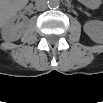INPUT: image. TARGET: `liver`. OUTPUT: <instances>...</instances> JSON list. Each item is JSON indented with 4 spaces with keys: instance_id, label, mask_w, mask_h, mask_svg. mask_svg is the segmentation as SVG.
<instances>
[{
    "instance_id": "6515ba94",
    "label": "liver",
    "mask_w": 103,
    "mask_h": 103,
    "mask_svg": "<svg viewBox=\"0 0 103 103\" xmlns=\"http://www.w3.org/2000/svg\"><path fill=\"white\" fill-rule=\"evenodd\" d=\"M27 4L26 1L23 0H8L3 1L1 7V19L5 23L16 16V12L22 10L25 5Z\"/></svg>"
}]
</instances>
